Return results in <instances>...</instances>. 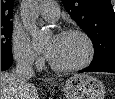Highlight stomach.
Listing matches in <instances>:
<instances>
[{"label": "stomach", "mask_w": 115, "mask_h": 99, "mask_svg": "<svg viewBox=\"0 0 115 99\" xmlns=\"http://www.w3.org/2000/svg\"><path fill=\"white\" fill-rule=\"evenodd\" d=\"M63 91L67 99H104L103 83L87 74H75L69 78Z\"/></svg>", "instance_id": "0dacf381"}]
</instances>
